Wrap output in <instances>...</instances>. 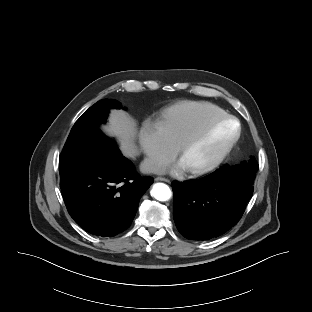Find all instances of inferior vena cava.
I'll return each mask as SVG.
<instances>
[{
	"instance_id": "602c4592",
	"label": "inferior vena cava",
	"mask_w": 312,
	"mask_h": 312,
	"mask_svg": "<svg viewBox=\"0 0 312 312\" xmlns=\"http://www.w3.org/2000/svg\"><path fill=\"white\" fill-rule=\"evenodd\" d=\"M165 165L157 160L146 158L140 165L143 173L162 174L165 172Z\"/></svg>"
}]
</instances>
